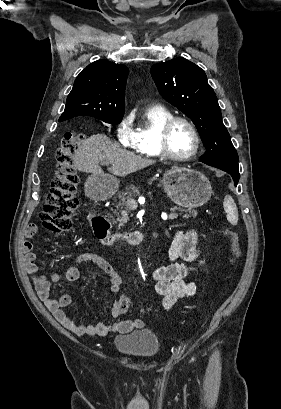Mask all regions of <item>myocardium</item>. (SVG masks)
<instances>
[{
    "label": "myocardium",
    "instance_id": "myocardium-1",
    "mask_svg": "<svg viewBox=\"0 0 281 409\" xmlns=\"http://www.w3.org/2000/svg\"><path fill=\"white\" fill-rule=\"evenodd\" d=\"M178 123H183L189 128V130L191 131L194 137V141H195L194 149L189 154L183 155V156H178V155L173 154L169 148V136H170L171 130ZM200 145H201V139H200V135H199V132L196 126L188 118L183 117V116L171 117L162 125V127L160 128L158 132L157 147L161 155L173 161L182 162V161L190 160L191 158L196 156V154L198 153L200 149Z\"/></svg>",
    "mask_w": 281,
    "mask_h": 409
}]
</instances>
